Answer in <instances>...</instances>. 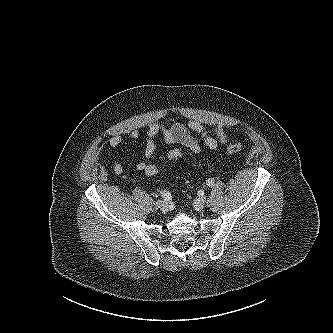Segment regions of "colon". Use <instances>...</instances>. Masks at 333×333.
Returning a JSON list of instances; mask_svg holds the SVG:
<instances>
[{
  "label": "colon",
  "instance_id": "1",
  "mask_svg": "<svg viewBox=\"0 0 333 333\" xmlns=\"http://www.w3.org/2000/svg\"><path fill=\"white\" fill-rule=\"evenodd\" d=\"M244 148L243 144L241 143H233L230 144L227 148H226V153L229 155L232 154H236L239 153L240 151H242ZM168 158L171 160H175V159H179L183 156V152L180 149H171L168 154H167ZM146 175L149 176H154L157 175L159 172V168L155 165V164H147L144 170Z\"/></svg>",
  "mask_w": 333,
  "mask_h": 333
}]
</instances>
